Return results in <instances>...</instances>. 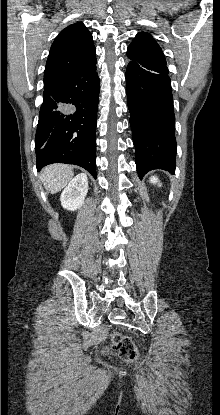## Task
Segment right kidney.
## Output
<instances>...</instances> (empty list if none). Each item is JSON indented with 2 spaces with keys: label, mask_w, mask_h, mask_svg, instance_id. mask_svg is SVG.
I'll use <instances>...</instances> for the list:
<instances>
[{
  "label": "right kidney",
  "mask_w": 220,
  "mask_h": 415,
  "mask_svg": "<svg viewBox=\"0 0 220 415\" xmlns=\"http://www.w3.org/2000/svg\"><path fill=\"white\" fill-rule=\"evenodd\" d=\"M88 192V179L86 174H78L66 186L60 196L61 205L64 209L74 211L84 203Z\"/></svg>",
  "instance_id": "obj_1"
}]
</instances>
